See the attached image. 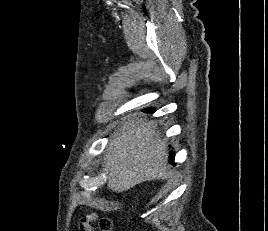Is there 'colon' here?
Wrapping results in <instances>:
<instances>
[{
  "label": "colon",
  "instance_id": "5ec220e1",
  "mask_svg": "<svg viewBox=\"0 0 268 231\" xmlns=\"http://www.w3.org/2000/svg\"><path fill=\"white\" fill-rule=\"evenodd\" d=\"M98 231H114V225L110 218L102 217L98 222Z\"/></svg>",
  "mask_w": 268,
  "mask_h": 231
}]
</instances>
